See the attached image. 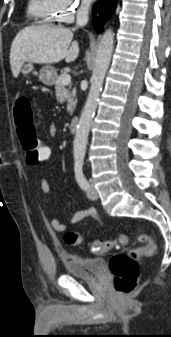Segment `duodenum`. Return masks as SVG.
Returning <instances> with one entry per match:
<instances>
[{
    "label": "duodenum",
    "instance_id": "duodenum-1",
    "mask_svg": "<svg viewBox=\"0 0 171 337\" xmlns=\"http://www.w3.org/2000/svg\"><path fill=\"white\" fill-rule=\"evenodd\" d=\"M78 125H79V120L78 118H73L70 122H69V131L74 133L77 131L78 129Z\"/></svg>",
    "mask_w": 171,
    "mask_h": 337
}]
</instances>
